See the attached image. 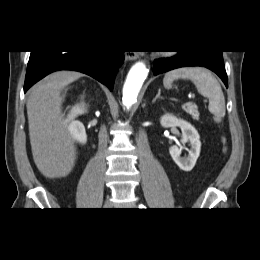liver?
<instances>
[{
    "label": "liver",
    "mask_w": 260,
    "mask_h": 260,
    "mask_svg": "<svg viewBox=\"0 0 260 260\" xmlns=\"http://www.w3.org/2000/svg\"><path fill=\"white\" fill-rule=\"evenodd\" d=\"M81 76L75 71L52 73L33 87L27 101L33 159L48 178L67 176L75 164L76 149L63 123L61 91Z\"/></svg>",
    "instance_id": "liver-1"
}]
</instances>
